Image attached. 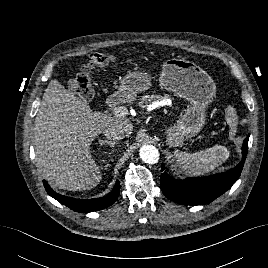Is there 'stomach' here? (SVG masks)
<instances>
[{
	"instance_id": "1",
	"label": "stomach",
	"mask_w": 268,
	"mask_h": 268,
	"mask_svg": "<svg viewBox=\"0 0 268 268\" xmlns=\"http://www.w3.org/2000/svg\"><path fill=\"white\" fill-rule=\"evenodd\" d=\"M159 82L162 88L174 92L191 104L181 113L176 124L166 129L168 145L177 147L202 130L206 121V108L215 97L216 86L207 72L184 58L165 60ZM151 85L148 73L134 71L121 80L119 93L124 101L131 102L139 92L148 90Z\"/></svg>"
}]
</instances>
